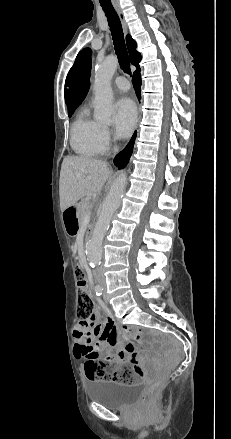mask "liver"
<instances>
[{
	"label": "liver",
	"mask_w": 231,
	"mask_h": 439,
	"mask_svg": "<svg viewBox=\"0 0 231 439\" xmlns=\"http://www.w3.org/2000/svg\"><path fill=\"white\" fill-rule=\"evenodd\" d=\"M112 171L102 160L89 157L64 158L59 181L60 207L64 211L84 196L98 193Z\"/></svg>",
	"instance_id": "1"
}]
</instances>
